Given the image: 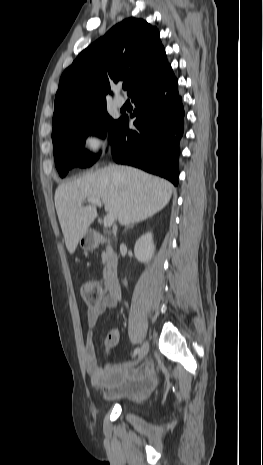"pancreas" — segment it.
<instances>
[{"instance_id":"1","label":"pancreas","mask_w":263,"mask_h":465,"mask_svg":"<svg viewBox=\"0 0 263 465\" xmlns=\"http://www.w3.org/2000/svg\"><path fill=\"white\" fill-rule=\"evenodd\" d=\"M110 254H111V249H110V247H107L106 251L103 252V254H102V260H103L104 263L108 262V260L110 259Z\"/></svg>"}]
</instances>
